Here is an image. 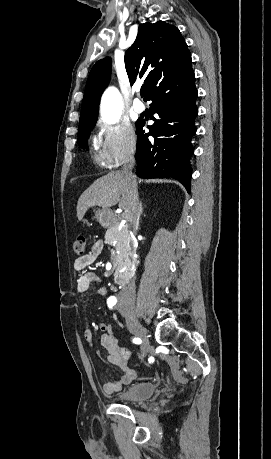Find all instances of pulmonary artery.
I'll return each mask as SVG.
<instances>
[{
	"mask_svg": "<svg viewBox=\"0 0 271 459\" xmlns=\"http://www.w3.org/2000/svg\"><path fill=\"white\" fill-rule=\"evenodd\" d=\"M138 94H139V91H138ZM144 110H145V105L143 101H141L139 98H136L132 104L133 113L141 114L142 112H144Z\"/></svg>",
	"mask_w": 271,
	"mask_h": 459,
	"instance_id": "pulmonary-artery-1",
	"label": "pulmonary artery"
}]
</instances>
